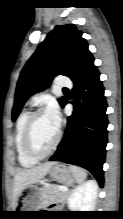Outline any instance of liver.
Segmentation results:
<instances>
[{"instance_id":"1","label":"liver","mask_w":123,"mask_h":219,"mask_svg":"<svg viewBox=\"0 0 123 219\" xmlns=\"http://www.w3.org/2000/svg\"><path fill=\"white\" fill-rule=\"evenodd\" d=\"M56 164L55 162H46L44 164L34 166L28 169H22L17 172L13 180L12 191V206L14 207L21 196L22 192L30 185L37 183L41 180L50 170V168Z\"/></svg>"}]
</instances>
